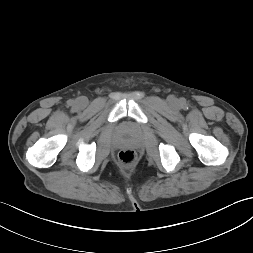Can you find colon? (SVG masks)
I'll return each mask as SVG.
<instances>
[{
  "label": "colon",
  "mask_w": 253,
  "mask_h": 253,
  "mask_svg": "<svg viewBox=\"0 0 253 253\" xmlns=\"http://www.w3.org/2000/svg\"><path fill=\"white\" fill-rule=\"evenodd\" d=\"M118 159L123 167H130L136 161V152L131 148L123 149L119 152Z\"/></svg>",
  "instance_id": "colon-1"
}]
</instances>
